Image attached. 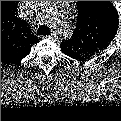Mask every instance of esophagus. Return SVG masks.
I'll return each instance as SVG.
<instances>
[{"label":"esophagus","instance_id":"34e87169","mask_svg":"<svg viewBox=\"0 0 121 121\" xmlns=\"http://www.w3.org/2000/svg\"><path fill=\"white\" fill-rule=\"evenodd\" d=\"M51 36H52V37H55V33H54V32H53V33H51Z\"/></svg>","mask_w":121,"mask_h":121}]
</instances>
